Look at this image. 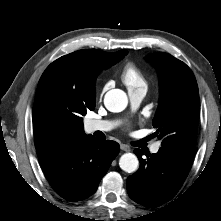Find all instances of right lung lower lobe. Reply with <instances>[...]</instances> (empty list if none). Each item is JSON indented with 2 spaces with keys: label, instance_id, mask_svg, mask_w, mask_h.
Listing matches in <instances>:
<instances>
[{
  "label": "right lung lower lobe",
  "instance_id": "98d812e1",
  "mask_svg": "<svg viewBox=\"0 0 221 221\" xmlns=\"http://www.w3.org/2000/svg\"><path fill=\"white\" fill-rule=\"evenodd\" d=\"M119 149L115 141L84 135L55 143L37 154L53 189L68 201H80L96 191Z\"/></svg>",
  "mask_w": 221,
  "mask_h": 221
}]
</instances>
